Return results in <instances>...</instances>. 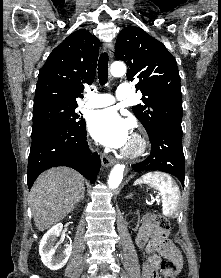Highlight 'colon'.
I'll list each match as a JSON object with an SVG mask.
<instances>
[{
    "instance_id": "5ec220e1",
    "label": "colon",
    "mask_w": 221,
    "mask_h": 278,
    "mask_svg": "<svg viewBox=\"0 0 221 278\" xmlns=\"http://www.w3.org/2000/svg\"><path fill=\"white\" fill-rule=\"evenodd\" d=\"M153 223L155 224V226H157L159 229L163 231H168L170 228V223L167 220V218H165L162 214L158 212H155L153 214ZM160 269L162 274L166 278H172L175 275L178 267L174 261L170 259H165L161 262Z\"/></svg>"
}]
</instances>
